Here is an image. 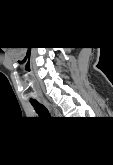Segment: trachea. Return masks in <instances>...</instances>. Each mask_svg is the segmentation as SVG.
I'll return each instance as SVG.
<instances>
[{
    "label": "trachea",
    "instance_id": "3493384b",
    "mask_svg": "<svg viewBox=\"0 0 113 165\" xmlns=\"http://www.w3.org/2000/svg\"><path fill=\"white\" fill-rule=\"evenodd\" d=\"M34 109L36 110V112L42 116V117H48L49 116V112L48 110L40 103H38L37 101H31Z\"/></svg>",
    "mask_w": 113,
    "mask_h": 165
}]
</instances>
